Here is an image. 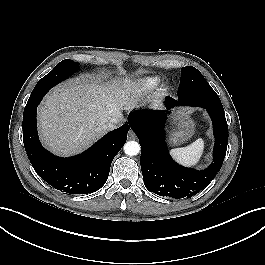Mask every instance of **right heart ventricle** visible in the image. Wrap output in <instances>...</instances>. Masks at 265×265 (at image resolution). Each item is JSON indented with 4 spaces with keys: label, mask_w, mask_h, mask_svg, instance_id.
<instances>
[{
    "label": "right heart ventricle",
    "mask_w": 265,
    "mask_h": 265,
    "mask_svg": "<svg viewBox=\"0 0 265 265\" xmlns=\"http://www.w3.org/2000/svg\"><path fill=\"white\" fill-rule=\"evenodd\" d=\"M156 84H157L156 78H147L140 82L139 87H140V90L146 91V90H150L151 88H153ZM129 99L130 98H128V101H131Z\"/></svg>",
    "instance_id": "right-heart-ventricle-1"
}]
</instances>
